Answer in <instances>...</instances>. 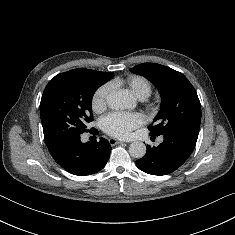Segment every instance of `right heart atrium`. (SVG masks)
<instances>
[{"label": "right heart atrium", "instance_id": "1", "mask_svg": "<svg viewBox=\"0 0 235 235\" xmlns=\"http://www.w3.org/2000/svg\"><path fill=\"white\" fill-rule=\"evenodd\" d=\"M110 93L111 85L109 83H105L95 90L91 100V106L94 112L99 113L105 110Z\"/></svg>", "mask_w": 235, "mask_h": 235}]
</instances>
